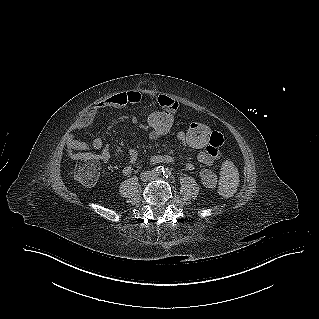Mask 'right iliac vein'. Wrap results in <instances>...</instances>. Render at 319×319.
Masks as SVG:
<instances>
[{
  "label": "right iliac vein",
  "mask_w": 319,
  "mask_h": 319,
  "mask_svg": "<svg viewBox=\"0 0 319 319\" xmlns=\"http://www.w3.org/2000/svg\"><path fill=\"white\" fill-rule=\"evenodd\" d=\"M141 180L143 181V182H147V181H149L150 180V178H151V173L150 172H143L142 174H141Z\"/></svg>",
  "instance_id": "right-iliac-vein-1"
}]
</instances>
